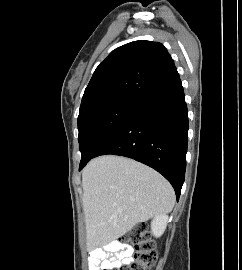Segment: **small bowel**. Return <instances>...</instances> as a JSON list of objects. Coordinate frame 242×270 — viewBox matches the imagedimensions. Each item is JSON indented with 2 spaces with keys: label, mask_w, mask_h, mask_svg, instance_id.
I'll return each instance as SVG.
<instances>
[{
  "label": "small bowel",
  "mask_w": 242,
  "mask_h": 270,
  "mask_svg": "<svg viewBox=\"0 0 242 270\" xmlns=\"http://www.w3.org/2000/svg\"><path fill=\"white\" fill-rule=\"evenodd\" d=\"M133 249L120 242L109 244L104 250L96 249L89 257V264L95 270H116L120 265L131 261Z\"/></svg>",
  "instance_id": "small-bowel-1"
}]
</instances>
